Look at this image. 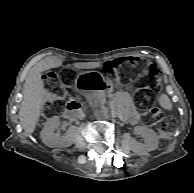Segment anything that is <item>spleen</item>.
<instances>
[{
	"label": "spleen",
	"instance_id": "1",
	"mask_svg": "<svg viewBox=\"0 0 194 193\" xmlns=\"http://www.w3.org/2000/svg\"><path fill=\"white\" fill-rule=\"evenodd\" d=\"M160 105L167 110L172 109V103L166 94H162L159 99Z\"/></svg>",
	"mask_w": 194,
	"mask_h": 193
}]
</instances>
